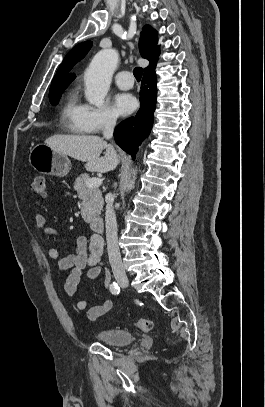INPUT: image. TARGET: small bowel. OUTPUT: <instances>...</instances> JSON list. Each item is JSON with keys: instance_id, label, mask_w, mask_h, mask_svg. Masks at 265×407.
Wrapping results in <instances>:
<instances>
[{"instance_id": "c3829d8e", "label": "small bowel", "mask_w": 265, "mask_h": 407, "mask_svg": "<svg viewBox=\"0 0 265 407\" xmlns=\"http://www.w3.org/2000/svg\"><path fill=\"white\" fill-rule=\"evenodd\" d=\"M35 225L48 236H57L58 230L53 227L45 226V218L39 214H33ZM49 258L57 261L58 268L61 272L67 275L64 290L67 296L72 297L78 289L81 276L86 270V276L89 279H96L100 275H104L105 287L110 286L111 276L104 271L102 264V246L98 238H92L90 244H87V239L84 236L76 237V246L73 254L60 257L56 249L48 250ZM112 301L108 298L104 299L99 305L92 306L88 309V302L85 299H80L76 308L79 311L87 310V318L90 321H96L99 317L106 314L112 308Z\"/></svg>"}]
</instances>
